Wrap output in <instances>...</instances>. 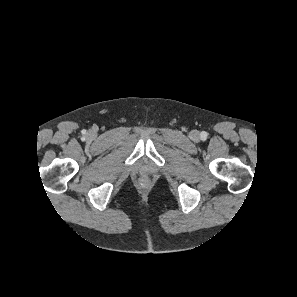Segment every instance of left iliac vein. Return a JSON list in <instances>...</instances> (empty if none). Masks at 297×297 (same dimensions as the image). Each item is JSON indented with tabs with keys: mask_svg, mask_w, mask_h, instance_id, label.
<instances>
[{
	"mask_svg": "<svg viewBox=\"0 0 297 297\" xmlns=\"http://www.w3.org/2000/svg\"><path fill=\"white\" fill-rule=\"evenodd\" d=\"M190 135H191V138H192L193 140H198V139H199V132L196 131V130H193V131L190 133Z\"/></svg>",
	"mask_w": 297,
	"mask_h": 297,
	"instance_id": "1",
	"label": "left iliac vein"
}]
</instances>
